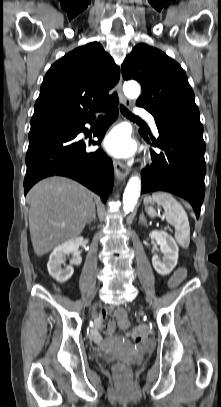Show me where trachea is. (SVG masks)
<instances>
[{
  "instance_id": "trachea-1",
  "label": "trachea",
  "mask_w": 221,
  "mask_h": 407,
  "mask_svg": "<svg viewBox=\"0 0 221 407\" xmlns=\"http://www.w3.org/2000/svg\"><path fill=\"white\" fill-rule=\"evenodd\" d=\"M120 110L121 113L126 116L129 119L132 120H141L138 116H135L134 114H132L126 107H124L123 105L120 106ZM99 117H102V115H100Z\"/></svg>"
}]
</instances>
